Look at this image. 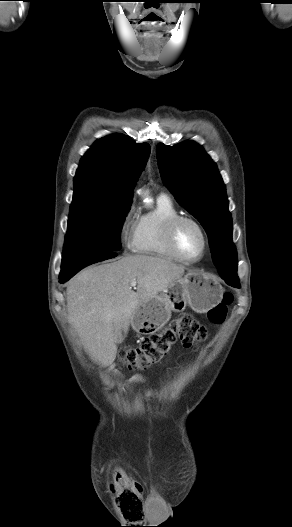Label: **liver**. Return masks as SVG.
Segmentation results:
<instances>
[{"mask_svg": "<svg viewBox=\"0 0 292 527\" xmlns=\"http://www.w3.org/2000/svg\"><path fill=\"white\" fill-rule=\"evenodd\" d=\"M185 267L147 255H128L118 261L89 267L67 286L68 322L87 353L102 366L117 354L116 334L128 333L138 305L167 289L184 275ZM137 282L136 291L131 282Z\"/></svg>", "mask_w": 292, "mask_h": 527, "instance_id": "1", "label": "liver"}]
</instances>
